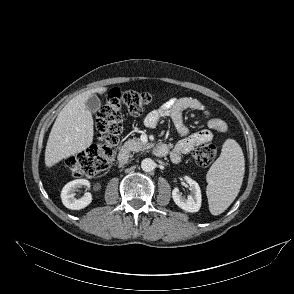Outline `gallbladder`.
I'll return each instance as SVG.
<instances>
[{"mask_svg": "<svg viewBox=\"0 0 294 294\" xmlns=\"http://www.w3.org/2000/svg\"><path fill=\"white\" fill-rule=\"evenodd\" d=\"M100 106H101L100 99L95 94H92L86 101V107L92 113H95L96 111H98Z\"/></svg>", "mask_w": 294, "mask_h": 294, "instance_id": "gallbladder-1", "label": "gallbladder"}]
</instances>
